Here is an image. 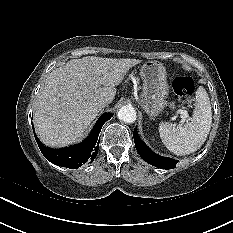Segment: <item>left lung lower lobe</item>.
Here are the masks:
<instances>
[{"label": "left lung lower lobe", "mask_w": 233, "mask_h": 233, "mask_svg": "<svg viewBox=\"0 0 233 233\" xmlns=\"http://www.w3.org/2000/svg\"><path fill=\"white\" fill-rule=\"evenodd\" d=\"M133 138L135 142V147L139 155L149 164L161 168V169H173L177 164V160L161 157L154 152H152L146 144L140 140L137 130L134 129Z\"/></svg>", "instance_id": "0a47b994"}]
</instances>
